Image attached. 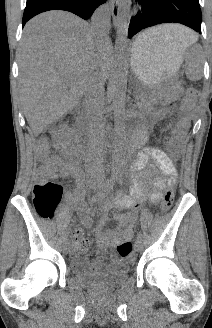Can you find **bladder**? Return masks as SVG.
Instances as JSON below:
<instances>
[{
	"instance_id": "bladder-1",
	"label": "bladder",
	"mask_w": 212,
	"mask_h": 328,
	"mask_svg": "<svg viewBox=\"0 0 212 328\" xmlns=\"http://www.w3.org/2000/svg\"><path fill=\"white\" fill-rule=\"evenodd\" d=\"M70 270L73 278L83 287L95 290H110L124 284L128 279V273L114 271L97 275L90 272L88 260L85 257H73L70 262Z\"/></svg>"
}]
</instances>
